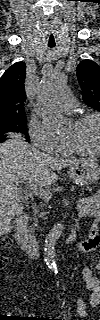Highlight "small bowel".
Wrapping results in <instances>:
<instances>
[{
    "label": "small bowel",
    "mask_w": 100,
    "mask_h": 320,
    "mask_svg": "<svg viewBox=\"0 0 100 320\" xmlns=\"http://www.w3.org/2000/svg\"><path fill=\"white\" fill-rule=\"evenodd\" d=\"M97 198V194L92 197L80 198L77 205L81 213L91 214L96 205ZM94 228H96V225H94ZM85 243L86 242L83 243L82 248L84 250H92L88 249ZM97 269L100 270V263L97 265ZM82 279L85 282L86 288L91 291L88 304L81 299L77 300V314L80 317H85L87 314V307H95L100 301V279L94 274V269L91 266L83 269Z\"/></svg>",
    "instance_id": "small-bowel-1"
}]
</instances>
